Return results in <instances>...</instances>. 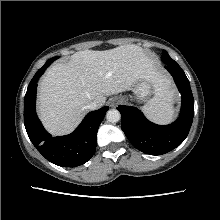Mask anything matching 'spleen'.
Returning a JSON list of instances; mask_svg holds the SVG:
<instances>
[{
    "instance_id": "3e777b00",
    "label": "spleen",
    "mask_w": 220,
    "mask_h": 220,
    "mask_svg": "<svg viewBox=\"0 0 220 220\" xmlns=\"http://www.w3.org/2000/svg\"><path fill=\"white\" fill-rule=\"evenodd\" d=\"M146 117L158 124H167L175 117V109L171 99L165 95H157L142 108Z\"/></svg>"
}]
</instances>
